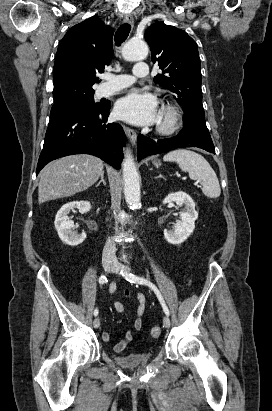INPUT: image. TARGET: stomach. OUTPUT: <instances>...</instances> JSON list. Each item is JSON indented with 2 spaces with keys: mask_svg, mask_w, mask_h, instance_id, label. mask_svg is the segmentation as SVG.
<instances>
[{
  "mask_svg": "<svg viewBox=\"0 0 272 411\" xmlns=\"http://www.w3.org/2000/svg\"><path fill=\"white\" fill-rule=\"evenodd\" d=\"M154 165L155 166H158V165H160V162L158 161V162H154Z\"/></svg>",
  "mask_w": 272,
  "mask_h": 411,
  "instance_id": "stomach-1",
  "label": "stomach"
}]
</instances>
